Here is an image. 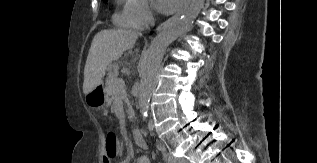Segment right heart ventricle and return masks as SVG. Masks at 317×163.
Returning a JSON list of instances; mask_svg holds the SVG:
<instances>
[{
    "label": "right heart ventricle",
    "mask_w": 317,
    "mask_h": 163,
    "mask_svg": "<svg viewBox=\"0 0 317 163\" xmlns=\"http://www.w3.org/2000/svg\"><path fill=\"white\" fill-rule=\"evenodd\" d=\"M136 2V0H116L117 9L113 16L115 25L132 29L142 27L137 22L134 14V6Z\"/></svg>",
    "instance_id": "1"
}]
</instances>
